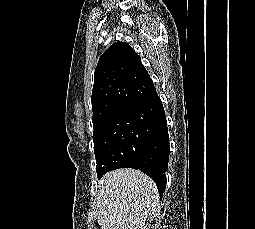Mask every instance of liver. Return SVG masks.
Segmentation results:
<instances>
[{
	"instance_id": "obj_1",
	"label": "liver",
	"mask_w": 255,
	"mask_h": 229,
	"mask_svg": "<svg viewBox=\"0 0 255 229\" xmlns=\"http://www.w3.org/2000/svg\"><path fill=\"white\" fill-rule=\"evenodd\" d=\"M98 224L101 229H146L158 208L154 181L134 169H118L99 182Z\"/></svg>"
}]
</instances>
